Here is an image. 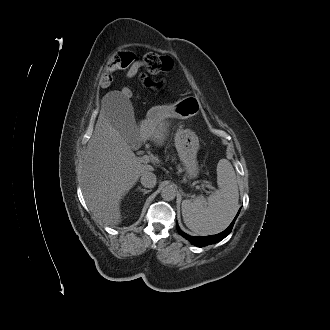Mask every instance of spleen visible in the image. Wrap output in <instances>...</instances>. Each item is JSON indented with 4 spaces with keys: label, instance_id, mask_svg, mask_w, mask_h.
<instances>
[{
    "label": "spleen",
    "instance_id": "spleen-1",
    "mask_svg": "<svg viewBox=\"0 0 330 330\" xmlns=\"http://www.w3.org/2000/svg\"><path fill=\"white\" fill-rule=\"evenodd\" d=\"M219 189L209 195L182 202V216L186 226L199 235H212L223 231L233 220L239 205L237 176L227 159L217 164Z\"/></svg>",
    "mask_w": 330,
    "mask_h": 330
}]
</instances>
